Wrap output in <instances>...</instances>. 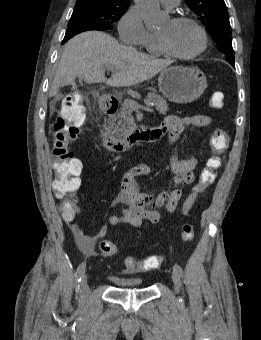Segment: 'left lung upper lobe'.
I'll use <instances>...</instances> for the list:
<instances>
[{
	"label": "left lung upper lobe",
	"mask_w": 261,
	"mask_h": 340,
	"mask_svg": "<svg viewBox=\"0 0 261 340\" xmlns=\"http://www.w3.org/2000/svg\"><path fill=\"white\" fill-rule=\"evenodd\" d=\"M213 37L228 61L234 62L229 14L224 0H185Z\"/></svg>",
	"instance_id": "left-lung-upper-lobe-1"
}]
</instances>
